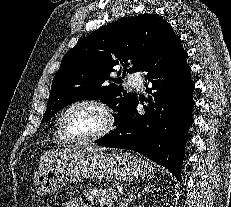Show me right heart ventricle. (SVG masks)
I'll list each match as a JSON object with an SVG mask.
<instances>
[{
	"label": "right heart ventricle",
	"instance_id": "obj_1",
	"mask_svg": "<svg viewBox=\"0 0 231 207\" xmlns=\"http://www.w3.org/2000/svg\"><path fill=\"white\" fill-rule=\"evenodd\" d=\"M56 138L58 139L59 143L66 144L69 141L62 135L60 130V125L58 124L56 131H55Z\"/></svg>",
	"mask_w": 231,
	"mask_h": 207
}]
</instances>
